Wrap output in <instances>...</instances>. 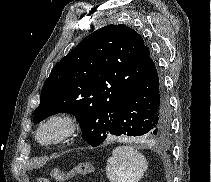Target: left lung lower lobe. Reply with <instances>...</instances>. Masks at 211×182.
Instances as JSON below:
<instances>
[{"mask_svg":"<svg viewBox=\"0 0 211 182\" xmlns=\"http://www.w3.org/2000/svg\"><path fill=\"white\" fill-rule=\"evenodd\" d=\"M170 122L168 97L162 77L151 58L143 79L117 112L111 134L150 141L166 135Z\"/></svg>","mask_w":211,"mask_h":182,"instance_id":"left-lung-lower-lobe-1","label":"left lung lower lobe"}]
</instances>
